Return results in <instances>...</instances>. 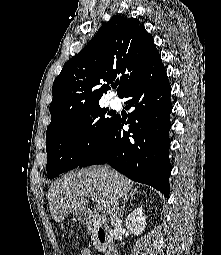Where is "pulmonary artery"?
Returning a JSON list of instances; mask_svg holds the SVG:
<instances>
[{"mask_svg":"<svg viewBox=\"0 0 221 255\" xmlns=\"http://www.w3.org/2000/svg\"><path fill=\"white\" fill-rule=\"evenodd\" d=\"M110 103H111V105H115L116 104V100L113 99V100L110 101Z\"/></svg>","mask_w":221,"mask_h":255,"instance_id":"obj_1","label":"pulmonary artery"}]
</instances>
